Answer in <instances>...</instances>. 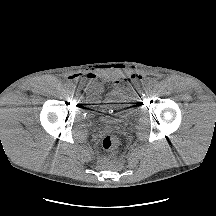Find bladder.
<instances>
[{
  "label": "bladder",
  "instance_id": "1",
  "mask_svg": "<svg viewBox=\"0 0 216 216\" xmlns=\"http://www.w3.org/2000/svg\"><path fill=\"white\" fill-rule=\"evenodd\" d=\"M83 94L85 101L82 110L88 118L115 123L136 112L134 103L121 90L113 91L110 87L102 86L94 92L88 88Z\"/></svg>",
  "mask_w": 216,
  "mask_h": 216
}]
</instances>
